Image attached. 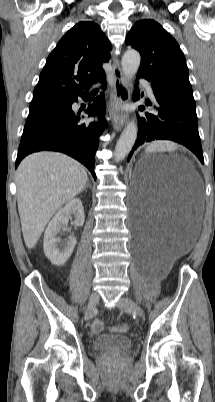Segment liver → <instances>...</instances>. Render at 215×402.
<instances>
[{
	"label": "liver",
	"mask_w": 215,
	"mask_h": 402,
	"mask_svg": "<svg viewBox=\"0 0 215 402\" xmlns=\"http://www.w3.org/2000/svg\"><path fill=\"white\" fill-rule=\"evenodd\" d=\"M88 177L76 160L57 152H38L17 169V202L23 238L32 249L53 214L86 186Z\"/></svg>",
	"instance_id": "liver-1"
}]
</instances>
